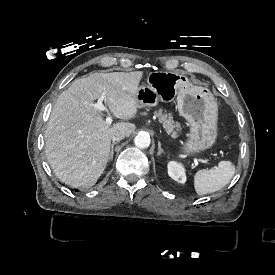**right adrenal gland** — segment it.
<instances>
[{"label": "right adrenal gland", "mask_w": 275, "mask_h": 275, "mask_svg": "<svg viewBox=\"0 0 275 275\" xmlns=\"http://www.w3.org/2000/svg\"><path fill=\"white\" fill-rule=\"evenodd\" d=\"M119 141H116V142H112L111 144V150H110V155H109V160H113V155H114V146L118 143Z\"/></svg>", "instance_id": "right-adrenal-gland-1"}]
</instances>
